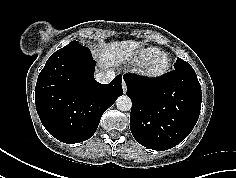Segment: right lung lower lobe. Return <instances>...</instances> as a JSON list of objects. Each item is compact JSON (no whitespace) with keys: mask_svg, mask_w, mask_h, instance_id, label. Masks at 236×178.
I'll return each instance as SVG.
<instances>
[{"mask_svg":"<svg viewBox=\"0 0 236 178\" xmlns=\"http://www.w3.org/2000/svg\"><path fill=\"white\" fill-rule=\"evenodd\" d=\"M94 67L90 51L78 45L52 54L38 76L37 113L45 129L61 142L89 139L103 113L123 94L121 75L100 84Z\"/></svg>","mask_w":236,"mask_h":178,"instance_id":"1","label":"right lung lower lobe"}]
</instances>
